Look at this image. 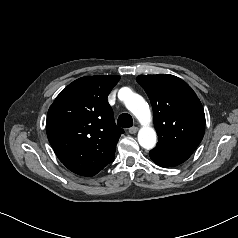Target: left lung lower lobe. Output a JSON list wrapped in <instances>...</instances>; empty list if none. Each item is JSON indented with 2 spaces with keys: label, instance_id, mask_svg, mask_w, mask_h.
I'll return each instance as SVG.
<instances>
[{
  "label": "left lung lower lobe",
  "instance_id": "obj_1",
  "mask_svg": "<svg viewBox=\"0 0 238 238\" xmlns=\"http://www.w3.org/2000/svg\"><path fill=\"white\" fill-rule=\"evenodd\" d=\"M150 158L161 167H173L186 161L189 156L169 153L160 148H154L149 153Z\"/></svg>",
  "mask_w": 238,
  "mask_h": 238
}]
</instances>
